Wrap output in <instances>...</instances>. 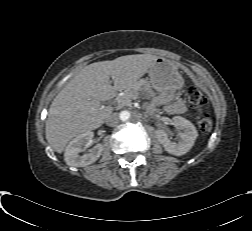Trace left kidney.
<instances>
[{"label":"left kidney","mask_w":252,"mask_h":231,"mask_svg":"<svg viewBox=\"0 0 252 231\" xmlns=\"http://www.w3.org/2000/svg\"><path fill=\"white\" fill-rule=\"evenodd\" d=\"M172 123L181 130L178 142L170 141L162 130L157 131V138L163 145L165 151L175 156H181L192 148L198 132L190 121L181 116L173 117Z\"/></svg>","instance_id":"1"}]
</instances>
